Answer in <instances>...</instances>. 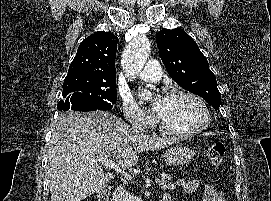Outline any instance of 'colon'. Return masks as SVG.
<instances>
[{
  "label": "colon",
  "instance_id": "5ec220e1",
  "mask_svg": "<svg viewBox=\"0 0 271 201\" xmlns=\"http://www.w3.org/2000/svg\"><path fill=\"white\" fill-rule=\"evenodd\" d=\"M226 147L222 142H216L208 147L207 155L211 165L214 168H218L224 161Z\"/></svg>",
  "mask_w": 271,
  "mask_h": 201
}]
</instances>
